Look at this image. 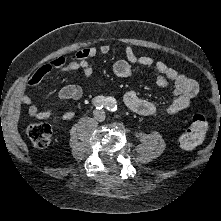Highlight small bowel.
Instances as JSON below:
<instances>
[{"label":"small bowel","mask_w":221,"mask_h":221,"mask_svg":"<svg viewBox=\"0 0 221 221\" xmlns=\"http://www.w3.org/2000/svg\"><path fill=\"white\" fill-rule=\"evenodd\" d=\"M109 51V45L102 44L99 47H84L68 58H55L48 64L40 67L29 78L28 84L31 86L40 84L44 77L53 69L62 72L81 70L83 76L89 78L93 73V66L90 60L98 55H106ZM125 55L126 59L119 60L113 65V72L118 77H129L132 75L134 65L149 67L154 64L150 56L139 55L130 45L125 46ZM154 68L157 85L161 88H173V101L160 108L153 102L140 97L135 91H127L123 95L125 105L133 112L143 116L157 114L174 115L188 108L199 93L197 81L180 73L164 62L155 63ZM82 94L81 87L74 84L65 85L58 91V97L62 100H79ZM21 102L28 107L29 114L39 120L49 119L52 122H63L75 117V111L72 109L60 115H54L52 109L40 110L27 94L22 95Z\"/></svg>","instance_id":"obj_1"}]
</instances>
